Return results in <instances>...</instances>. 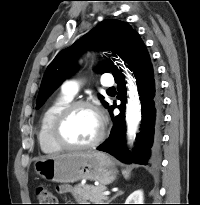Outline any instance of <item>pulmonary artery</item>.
<instances>
[{"mask_svg": "<svg viewBox=\"0 0 200 205\" xmlns=\"http://www.w3.org/2000/svg\"><path fill=\"white\" fill-rule=\"evenodd\" d=\"M101 83L103 86H112L114 84V81L111 77L105 76L103 77ZM79 89H80V82L77 80H68L64 82L62 85L63 93H65L66 95L72 98L77 95Z\"/></svg>", "mask_w": 200, "mask_h": 205, "instance_id": "pulmonary-artery-1", "label": "pulmonary artery"}]
</instances>
